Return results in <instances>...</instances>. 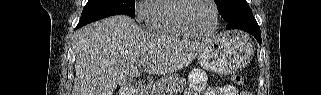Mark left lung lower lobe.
<instances>
[{
  "mask_svg": "<svg viewBox=\"0 0 321 95\" xmlns=\"http://www.w3.org/2000/svg\"><path fill=\"white\" fill-rule=\"evenodd\" d=\"M227 29H241L246 31L253 35L259 44H261V31L252 12L241 14L228 21Z\"/></svg>",
  "mask_w": 321,
  "mask_h": 95,
  "instance_id": "obj_1",
  "label": "left lung lower lobe"
}]
</instances>
